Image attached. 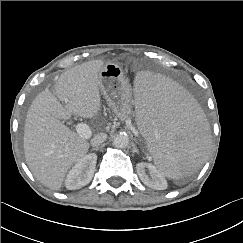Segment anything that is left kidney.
I'll return each instance as SVG.
<instances>
[{
	"label": "left kidney",
	"mask_w": 243,
	"mask_h": 243,
	"mask_svg": "<svg viewBox=\"0 0 243 243\" xmlns=\"http://www.w3.org/2000/svg\"><path fill=\"white\" fill-rule=\"evenodd\" d=\"M136 168L141 181L146 186L158 190H163L167 187V182L165 178L159 173L157 168L151 163L141 162L136 165ZM147 169L151 173L152 178H149V176L147 175L146 173Z\"/></svg>",
	"instance_id": "left-kidney-1"
}]
</instances>
